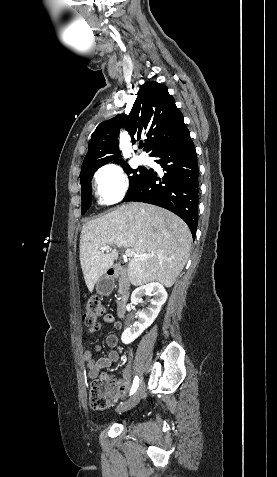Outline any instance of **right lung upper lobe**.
Listing matches in <instances>:
<instances>
[{
	"label": "right lung upper lobe",
	"mask_w": 277,
	"mask_h": 477,
	"mask_svg": "<svg viewBox=\"0 0 277 477\" xmlns=\"http://www.w3.org/2000/svg\"><path fill=\"white\" fill-rule=\"evenodd\" d=\"M125 127L132 143L147 136L146 151L151 155L175 140L187 127L167 87L157 82L143 84L129 116L118 115L100 123L93 132L82 169L101 167L119 157L118 136ZM117 163H125L116 160Z\"/></svg>",
	"instance_id": "cb5924a9"
}]
</instances>
